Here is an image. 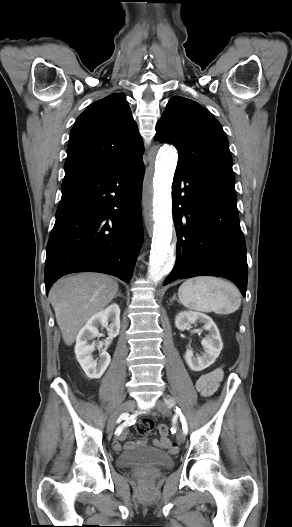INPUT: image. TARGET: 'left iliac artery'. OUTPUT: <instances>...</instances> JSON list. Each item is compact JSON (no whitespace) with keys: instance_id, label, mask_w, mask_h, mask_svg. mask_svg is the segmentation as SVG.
Masks as SVG:
<instances>
[{"instance_id":"left-iliac-artery-1","label":"left iliac artery","mask_w":292,"mask_h":527,"mask_svg":"<svg viewBox=\"0 0 292 527\" xmlns=\"http://www.w3.org/2000/svg\"><path fill=\"white\" fill-rule=\"evenodd\" d=\"M165 401L168 404H170V406L174 405L173 401H170V402L168 400H165ZM175 412H176L177 416H179V418H180L184 434H187V432H188V425H187V421H186V418H185L184 414L182 413L181 409L178 408V407H176Z\"/></svg>"}]
</instances>
